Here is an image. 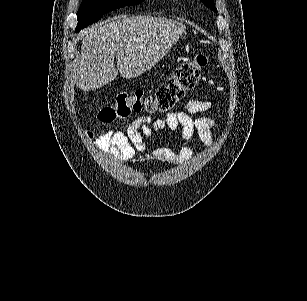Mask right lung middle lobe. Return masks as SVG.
<instances>
[{
	"label": "right lung middle lobe",
	"mask_w": 307,
	"mask_h": 301,
	"mask_svg": "<svg viewBox=\"0 0 307 301\" xmlns=\"http://www.w3.org/2000/svg\"><path fill=\"white\" fill-rule=\"evenodd\" d=\"M143 0H82L80 8L77 12L78 32L85 26L97 22L103 14L125 6L137 5Z\"/></svg>",
	"instance_id": "right-lung-middle-lobe-1"
}]
</instances>
